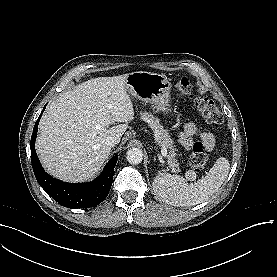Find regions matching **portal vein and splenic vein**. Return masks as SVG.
I'll return each instance as SVG.
<instances>
[{"label": "portal vein and splenic vein", "instance_id": "18ae733b", "mask_svg": "<svg viewBox=\"0 0 277 277\" xmlns=\"http://www.w3.org/2000/svg\"><path fill=\"white\" fill-rule=\"evenodd\" d=\"M161 154H162L163 157H166V155H167V149L165 147L161 148Z\"/></svg>", "mask_w": 277, "mask_h": 277}]
</instances>
